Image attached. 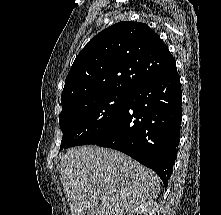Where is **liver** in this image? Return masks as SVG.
<instances>
[{
  "mask_svg": "<svg viewBox=\"0 0 221 215\" xmlns=\"http://www.w3.org/2000/svg\"><path fill=\"white\" fill-rule=\"evenodd\" d=\"M61 183L71 215L98 206V215H124L160 193V178L119 151L71 148L61 157ZM101 203L99 204V202Z\"/></svg>",
  "mask_w": 221,
  "mask_h": 215,
  "instance_id": "1",
  "label": "liver"
}]
</instances>
